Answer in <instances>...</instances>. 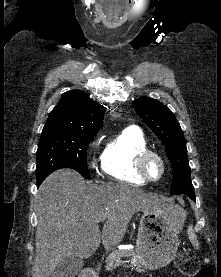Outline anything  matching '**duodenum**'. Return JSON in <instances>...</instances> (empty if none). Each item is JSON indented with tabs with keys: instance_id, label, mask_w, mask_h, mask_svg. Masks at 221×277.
<instances>
[{
	"instance_id": "410a0bca",
	"label": "duodenum",
	"mask_w": 221,
	"mask_h": 277,
	"mask_svg": "<svg viewBox=\"0 0 221 277\" xmlns=\"http://www.w3.org/2000/svg\"><path fill=\"white\" fill-rule=\"evenodd\" d=\"M94 272H95V269H94V270H91V271H89V272H86V273L84 274V277H92V275L94 274Z\"/></svg>"
}]
</instances>
